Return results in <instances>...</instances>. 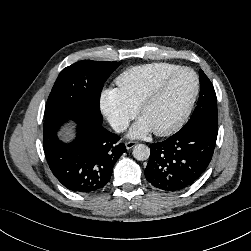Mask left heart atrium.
Instances as JSON below:
<instances>
[{
  "label": "left heart atrium",
  "instance_id": "1",
  "mask_svg": "<svg viewBox=\"0 0 251 251\" xmlns=\"http://www.w3.org/2000/svg\"><path fill=\"white\" fill-rule=\"evenodd\" d=\"M152 131V128L144 118H140L131 128L129 135L134 138L146 136Z\"/></svg>",
  "mask_w": 251,
  "mask_h": 251
}]
</instances>
